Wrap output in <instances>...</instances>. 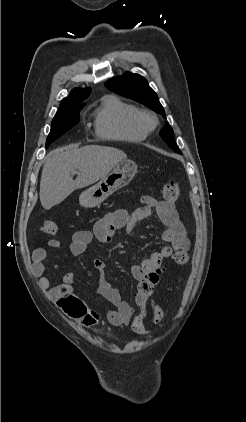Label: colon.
I'll return each mask as SVG.
<instances>
[{"mask_svg":"<svg viewBox=\"0 0 246 422\" xmlns=\"http://www.w3.org/2000/svg\"><path fill=\"white\" fill-rule=\"evenodd\" d=\"M180 192V185L175 181L166 182L161 189L163 197L170 201L176 200L180 196ZM41 230L47 235H53L57 232V225L52 221H46L43 223ZM173 259L176 264L184 265L188 261V254L185 252H176ZM163 274L164 269L158 268L145 274L138 282L135 302L139 307V313L131 325L132 330L136 333L144 334L146 332L144 322L148 313V301ZM151 314L155 324L161 325L163 323L165 313L158 304L152 303Z\"/></svg>","mask_w":246,"mask_h":422,"instance_id":"colon-1","label":"colon"}]
</instances>
